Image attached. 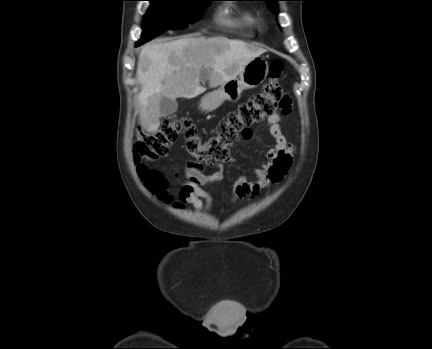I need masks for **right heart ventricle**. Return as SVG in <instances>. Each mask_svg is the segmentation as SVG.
<instances>
[{"label":"right heart ventricle","instance_id":"1","mask_svg":"<svg viewBox=\"0 0 432 349\" xmlns=\"http://www.w3.org/2000/svg\"><path fill=\"white\" fill-rule=\"evenodd\" d=\"M231 24L241 28L242 30L249 31L257 24L256 17L250 12H241L236 18L230 21Z\"/></svg>","mask_w":432,"mask_h":349}]
</instances>
